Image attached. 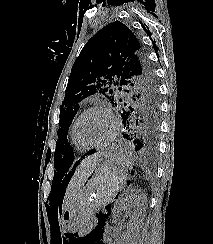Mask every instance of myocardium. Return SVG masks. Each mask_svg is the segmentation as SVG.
I'll list each match as a JSON object with an SVG mask.
<instances>
[{
	"mask_svg": "<svg viewBox=\"0 0 213 244\" xmlns=\"http://www.w3.org/2000/svg\"><path fill=\"white\" fill-rule=\"evenodd\" d=\"M93 111L104 112L109 117V119L112 123V132H111L110 136L105 141H103L102 143H99V144H87L78 135V125H79L80 121L83 119V117L85 115H87L88 113L93 112ZM119 130H120V123H119L118 119L116 118V116L114 115L112 110L105 104L93 105V106L86 108L77 117V119L75 120V122L73 124V135H74L76 141L84 149H102L104 147H107L116 139V137L118 136Z\"/></svg>",
	"mask_w": 213,
	"mask_h": 244,
	"instance_id": "1",
	"label": "myocardium"
}]
</instances>
